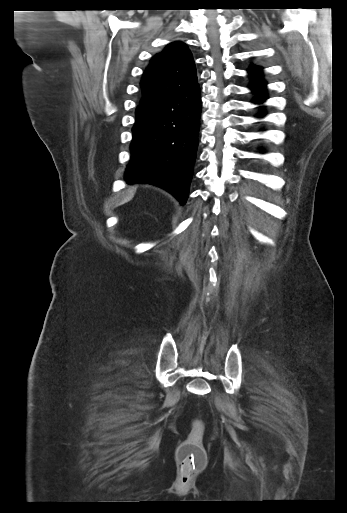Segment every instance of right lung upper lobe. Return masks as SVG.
I'll return each mask as SVG.
<instances>
[{
    "label": "right lung upper lobe",
    "instance_id": "obj_1",
    "mask_svg": "<svg viewBox=\"0 0 347 513\" xmlns=\"http://www.w3.org/2000/svg\"><path fill=\"white\" fill-rule=\"evenodd\" d=\"M197 84L196 68L188 47L180 41L156 54L143 74L141 101L184 92Z\"/></svg>",
    "mask_w": 347,
    "mask_h": 513
}]
</instances>
